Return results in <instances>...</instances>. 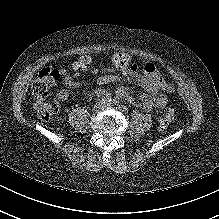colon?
<instances>
[{
    "label": "colon",
    "mask_w": 219,
    "mask_h": 219,
    "mask_svg": "<svg viewBox=\"0 0 219 219\" xmlns=\"http://www.w3.org/2000/svg\"><path fill=\"white\" fill-rule=\"evenodd\" d=\"M59 78V71L54 66H48L39 72L38 76L31 84L33 106L37 114L43 120H50L55 114V110L50 104L48 98L51 89L56 85ZM174 119V110L173 108H170L160 122V129L166 130L172 124Z\"/></svg>",
    "instance_id": "1"
}]
</instances>
